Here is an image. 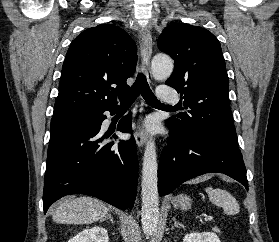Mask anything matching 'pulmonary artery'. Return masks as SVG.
Returning a JSON list of instances; mask_svg holds the SVG:
<instances>
[{
  "label": "pulmonary artery",
  "instance_id": "obj_1",
  "mask_svg": "<svg viewBox=\"0 0 279 242\" xmlns=\"http://www.w3.org/2000/svg\"><path fill=\"white\" fill-rule=\"evenodd\" d=\"M157 96L160 101L165 103L174 104L178 102V95L175 93L173 88L169 85H161L158 87Z\"/></svg>",
  "mask_w": 279,
  "mask_h": 242
}]
</instances>
